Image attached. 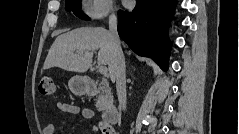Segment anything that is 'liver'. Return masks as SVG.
Returning a JSON list of instances; mask_svg holds the SVG:
<instances>
[{
    "instance_id": "6515ba94",
    "label": "liver",
    "mask_w": 239,
    "mask_h": 134,
    "mask_svg": "<svg viewBox=\"0 0 239 134\" xmlns=\"http://www.w3.org/2000/svg\"><path fill=\"white\" fill-rule=\"evenodd\" d=\"M95 50L98 65H110L113 60V42L110 32L102 27H82L59 35L52 44L45 59L43 69H61L84 73L92 64ZM111 80L114 78L110 74Z\"/></svg>"
}]
</instances>
